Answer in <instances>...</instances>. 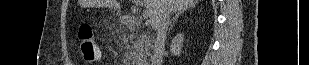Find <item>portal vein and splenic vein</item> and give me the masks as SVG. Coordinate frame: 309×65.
Wrapping results in <instances>:
<instances>
[{
    "instance_id": "1",
    "label": "portal vein and splenic vein",
    "mask_w": 309,
    "mask_h": 65,
    "mask_svg": "<svg viewBox=\"0 0 309 65\" xmlns=\"http://www.w3.org/2000/svg\"><path fill=\"white\" fill-rule=\"evenodd\" d=\"M137 3H140V1H137ZM142 16H143V18H148L149 17V11L144 10Z\"/></svg>"
}]
</instances>
